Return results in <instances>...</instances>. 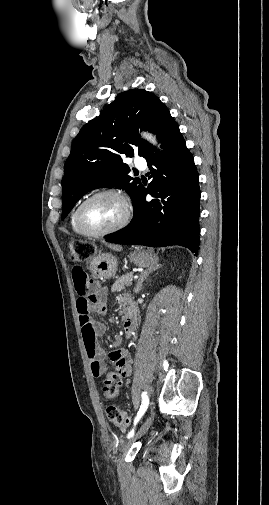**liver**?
<instances>
[{
  "mask_svg": "<svg viewBox=\"0 0 269 505\" xmlns=\"http://www.w3.org/2000/svg\"><path fill=\"white\" fill-rule=\"evenodd\" d=\"M111 248H112L113 250H116V251H121V250H122V248H121V247H119V246H111Z\"/></svg>",
  "mask_w": 269,
  "mask_h": 505,
  "instance_id": "1",
  "label": "liver"
}]
</instances>
